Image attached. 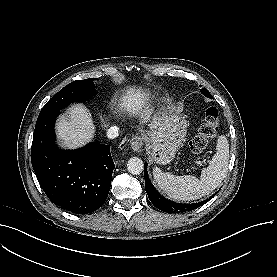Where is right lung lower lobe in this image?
Here are the masks:
<instances>
[{
  "label": "right lung lower lobe",
  "mask_w": 277,
  "mask_h": 277,
  "mask_svg": "<svg viewBox=\"0 0 277 277\" xmlns=\"http://www.w3.org/2000/svg\"><path fill=\"white\" fill-rule=\"evenodd\" d=\"M58 111L39 115L31 148L33 170L43 191L56 205L75 214L92 213L108 197L115 167L110 146L97 142L70 151L55 143Z\"/></svg>",
  "instance_id": "right-lung-lower-lobe-1"
}]
</instances>
